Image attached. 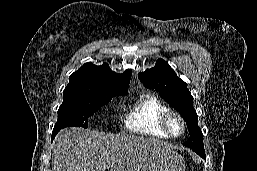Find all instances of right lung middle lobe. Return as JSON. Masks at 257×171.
I'll return each mask as SVG.
<instances>
[{"instance_id": "dd1d6c3e", "label": "right lung middle lobe", "mask_w": 257, "mask_h": 171, "mask_svg": "<svg viewBox=\"0 0 257 171\" xmlns=\"http://www.w3.org/2000/svg\"><path fill=\"white\" fill-rule=\"evenodd\" d=\"M119 94L108 90L90 88H65L63 103L58 110V120L54 129L65 127H87L88 117L108 104Z\"/></svg>"}]
</instances>
